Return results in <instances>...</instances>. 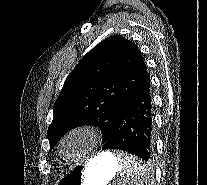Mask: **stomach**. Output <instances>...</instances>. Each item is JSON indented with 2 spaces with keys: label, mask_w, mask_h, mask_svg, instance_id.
I'll return each mask as SVG.
<instances>
[{
  "label": "stomach",
  "mask_w": 207,
  "mask_h": 185,
  "mask_svg": "<svg viewBox=\"0 0 207 185\" xmlns=\"http://www.w3.org/2000/svg\"><path fill=\"white\" fill-rule=\"evenodd\" d=\"M119 170L115 155L103 152L83 164L74 166L58 182V185H106Z\"/></svg>",
  "instance_id": "1"
}]
</instances>
